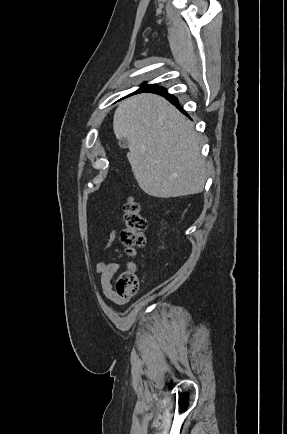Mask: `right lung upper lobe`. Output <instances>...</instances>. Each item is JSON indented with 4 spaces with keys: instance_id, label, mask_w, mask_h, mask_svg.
I'll use <instances>...</instances> for the list:
<instances>
[{
    "instance_id": "cb5924a9",
    "label": "right lung upper lobe",
    "mask_w": 287,
    "mask_h": 434,
    "mask_svg": "<svg viewBox=\"0 0 287 434\" xmlns=\"http://www.w3.org/2000/svg\"><path fill=\"white\" fill-rule=\"evenodd\" d=\"M161 89H163L162 87H157V86H144L141 87L140 89L137 90V92H156V91H160Z\"/></svg>"
}]
</instances>
